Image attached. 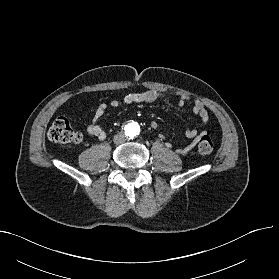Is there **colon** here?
Returning a JSON list of instances; mask_svg holds the SVG:
<instances>
[{
    "instance_id": "5ec220e1",
    "label": "colon",
    "mask_w": 279,
    "mask_h": 279,
    "mask_svg": "<svg viewBox=\"0 0 279 279\" xmlns=\"http://www.w3.org/2000/svg\"><path fill=\"white\" fill-rule=\"evenodd\" d=\"M49 139L58 144H76L81 140V135L76 132L69 120L60 116L54 120L48 131ZM213 151V142L211 138L206 134L201 136L198 142V152L201 155H208Z\"/></svg>"
}]
</instances>
